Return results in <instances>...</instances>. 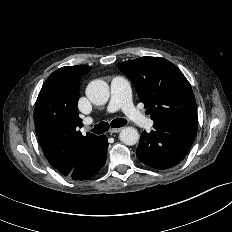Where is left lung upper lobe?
<instances>
[{
    "label": "left lung upper lobe",
    "mask_w": 232,
    "mask_h": 232,
    "mask_svg": "<svg viewBox=\"0 0 232 232\" xmlns=\"http://www.w3.org/2000/svg\"><path fill=\"white\" fill-rule=\"evenodd\" d=\"M117 66L131 79L154 123L197 126L191 85L173 63L161 57H140Z\"/></svg>",
    "instance_id": "5c2ea615"
}]
</instances>
